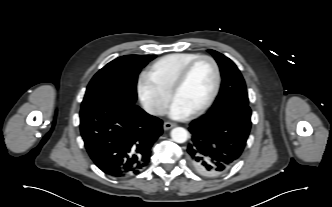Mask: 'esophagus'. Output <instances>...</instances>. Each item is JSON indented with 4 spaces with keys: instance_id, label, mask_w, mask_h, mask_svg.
Instances as JSON below:
<instances>
[{
    "instance_id": "1",
    "label": "esophagus",
    "mask_w": 332,
    "mask_h": 207,
    "mask_svg": "<svg viewBox=\"0 0 332 207\" xmlns=\"http://www.w3.org/2000/svg\"><path fill=\"white\" fill-rule=\"evenodd\" d=\"M175 126H176L175 123L168 122V121H167V122H164V124H163V128H164V130H169V129L175 127Z\"/></svg>"
}]
</instances>
